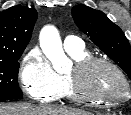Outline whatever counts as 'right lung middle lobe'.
Returning <instances> with one entry per match:
<instances>
[{
  "label": "right lung middle lobe",
  "instance_id": "right-lung-middle-lobe-1",
  "mask_svg": "<svg viewBox=\"0 0 131 115\" xmlns=\"http://www.w3.org/2000/svg\"><path fill=\"white\" fill-rule=\"evenodd\" d=\"M23 51L12 53L8 58L0 59V101L21 99L23 93L19 88L17 77L18 59Z\"/></svg>",
  "mask_w": 131,
  "mask_h": 115
}]
</instances>
